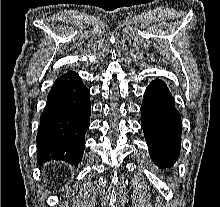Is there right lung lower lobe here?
<instances>
[{
	"mask_svg": "<svg viewBox=\"0 0 220 207\" xmlns=\"http://www.w3.org/2000/svg\"><path fill=\"white\" fill-rule=\"evenodd\" d=\"M90 92L78 73L68 71L52 86L36 137L38 161L51 159L78 164L90 125Z\"/></svg>",
	"mask_w": 220,
	"mask_h": 207,
	"instance_id": "98d812e1",
	"label": "right lung lower lobe"
}]
</instances>
